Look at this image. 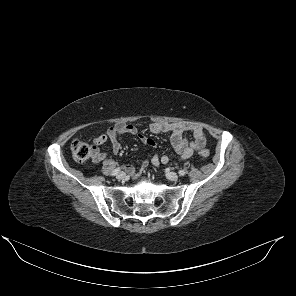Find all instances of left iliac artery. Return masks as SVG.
I'll return each instance as SVG.
<instances>
[{"mask_svg":"<svg viewBox=\"0 0 296 296\" xmlns=\"http://www.w3.org/2000/svg\"><path fill=\"white\" fill-rule=\"evenodd\" d=\"M178 173H179L180 176H184L186 174V171L185 170H179Z\"/></svg>","mask_w":296,"mask_h":296,"instance_id":"obj_1","label":"left iliac artery"}]
</instances>
